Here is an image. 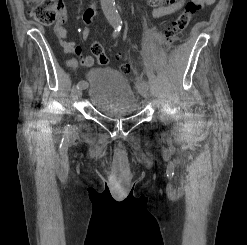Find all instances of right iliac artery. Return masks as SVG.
<instances>
[{
	"mask_svg": "<svg viewBox=\"0 0 247 245\" xmlns=\"http://www.w3.org/2000/svg\"><path fill=\"white\" fill-rule=\"evenodd\" d=\"M120 31V27H116L114 29V32H113V37H116L118 35ZM87 82H85L84 80L80 81L78 84H77V88L80 86V87H87Z\"/></svg>",
	"mask_w": 247,
	"mask_h": 245,
	"instance_id": "obj_1",
	"label": "right iliac artery"
}]
</instances>
